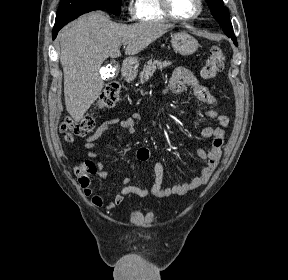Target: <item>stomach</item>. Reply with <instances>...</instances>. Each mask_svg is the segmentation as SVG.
Wrapping results in <instances>:
<instances>
[{"label":"stomach","mask_w":288,"mask_h":280,"mask_svg":"<svg viewBox=\"0 0 288 280\" xmlns=\"http://www.w3.org/2000/svg\"><path fill=\"white\" fill-rule=\"evenodd\" d=\"M171 44L175 52L188 56L193 54L198 49V41L185 31L178 32L172 36ZM137 59H130V63H136Z\"/></svg>","instance_id":"1"}]
</instances>
